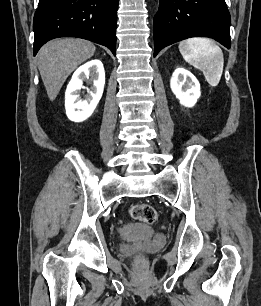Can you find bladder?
Instances as JSON below:
<instances>
[{"label":"bladder","instance_id":"bladder-1","mask_svg":"<svg viewBox=\"0 0 261 306\" xmlns=\"http://www.w3.org/2000/svg\"><path fill=\"white\" fill-rule=\"evenodd\" d=\"M153 233L154 229L146 224L130 223L120 229L119 238L124 241H134L150 237Z\"/></svg>","mask_w":261,"mask_h":306}]
</instances>
